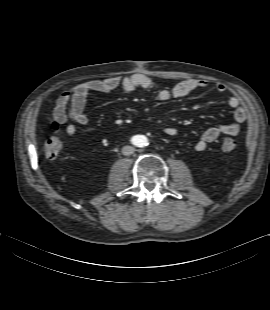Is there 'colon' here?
Listing matches in <instances>:
<instances>
[{
    "mask_svg": "<svg viewBox=\"0 0 270 310\" xmlns=\"http://www.w3.org/2000/svg\"><path fill=\"white\" fill-rule=\"evenodd\" d=\"M58 128V123L53 121L52 129L54 130V134L47 139L45 144V154L49 158H56L63 149V141L57 133ZM237 146L238 142L234 138L227 137L222 141V149L226 152L235 150Z\"/></svg>",
    "mask_w": 270,
    "mask_h": 310,
    "instance_id": "5ec220e1",
    "label": "colon"
}]
</instances>
